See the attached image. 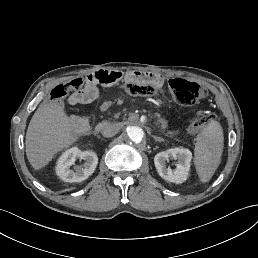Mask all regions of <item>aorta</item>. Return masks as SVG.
Returning a JSON list of instances; mask_svg holds the SVG:
<instances>
[{
  "mask_svg": "<svg viewBox=\"0 0 258 258\" xmlns=\"http://www.w3.org/2000/svg\"><path fill=\"white\" fill-rule=\"evenodd\" d=\"M144 131L139 126H128L126 129V136L127 138L134 142V143H140L144 138Z\"/></svg>",
  "mask_w": 258,
  "mask_h": 258,
  "instance_id": "1",
  "label": "aorta"
}]
</instances>
